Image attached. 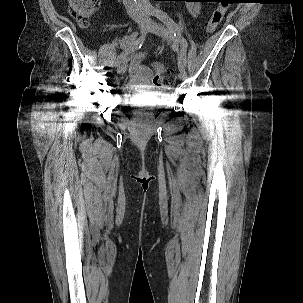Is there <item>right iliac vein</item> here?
Listing matches in <instances>:
<instances>
[{"instance_id":"obj_1","label":"right iliac vein","mask_w":303,"mask_h":303,"mask_svg":"<svg viewBox=\"0 0 303 303\" xmlns=\"http://www.w3.org/2000/svg\"><path fill=\"white\" fill-rule=\"evenodd\" d=\"M137 23H138L141 33H144L146 31V29L148 28V21L145 19H141V20H138ZM126 70H127V63L125 62L117 68V73L124 74L126 72Z\"/></svg>"}]
</instances>
